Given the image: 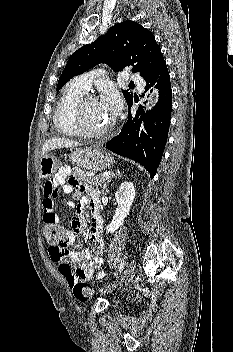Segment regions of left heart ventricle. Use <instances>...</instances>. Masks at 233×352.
<instances>
[{
	"instance_id": "obj_1",
	"label": "left heart ventricle",
	"mask_w": 233,
	"mask_h": 352,
	"mask_svg": "<svg viewBox=\"0 0 233 352\" xmlns=\"http://www.w3.org/2000/svg\"><path fill=\"white\" fill-rule=\"evenodd\" d=\"M84 122L89 129L102 130L112 123V119L102 108L100 102L94 100L86 103L84 107Z\"/></svg>"
}]
</instances>
